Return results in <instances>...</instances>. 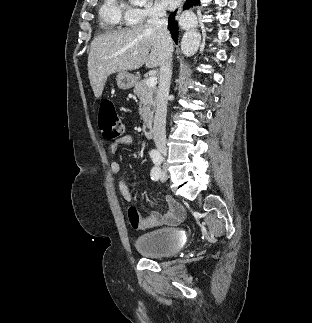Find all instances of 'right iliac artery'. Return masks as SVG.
<instances>
[{"label":"right iliac artery","mask_w":312,"mask_h":323,"mask_svg":"<svg viewBox=\"0 0 312 323\" xmlns=\"http://www.w3.org/2000/svg\"><path fill=\"white\" fill-rule=\"evenodd\" d=\"M155 159H157L158 161H154V159H153V161L155 162V164L157 166H159L162 163V158H155Z\"/></svg>","instance_id":"82829eb1"}]
</instances>
